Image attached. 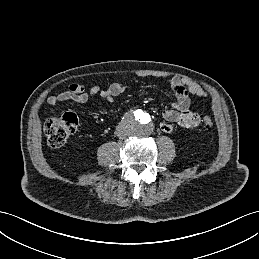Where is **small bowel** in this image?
Segmentation results:
<instances>
[{
  "label": "small bowel",
  "instance_id": "1",
  "mask_svg": "<svg viewBox=\"0 0 259 259\" xmlns=\"http://www.w3.org/2000/svg\"><path fill=\"white\" fill-rule=\"evenodd\" d=\"M139 76L153 75L165 78L169 81L172 91L177 100L173 102L171 109L162 112L163 121L160 128L165 133H171L174 129L173 124L180 127L191 129L200 124V115L190 109V95L206 96L205 90L192 81L172 76L165 72H155L152 74L143 71L138 73ZM125 91V84L122 81L112 83L107 89L101 90L98 85H94L89 91H86L81 84H70L67 90L50 96L48 104L55 106L62 102H74L77 104L87 103L91 98L99 95L105 100L111 102Z\"/></svg>",
  "mask_w": 259,
  "mask_h": 259
}]
</instances>
